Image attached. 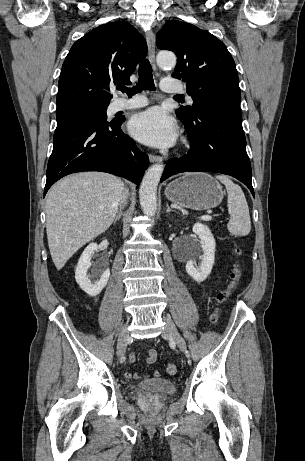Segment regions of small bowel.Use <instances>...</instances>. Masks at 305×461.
<instances>
[{"mask_svg":"<svg viewBox=\"0 0 305 461\" xmlns=\"http://www.w3.org/2000/svg\"><path fill=\"white\" fill-rule=\"evenodd\" d=\"M147 354H148V356H147V358H146V363H147L148 365H151V364L155 363L156 358H157V353H156V351H155L154 349H148V350H147ZM128 360H129V362H131V363L135 362V360H136L135 354H134V353H131V354L128 356ZM152 375H153L154 377H158V376L160 375L159 370H158V369L153 370ZM124 376H125L126 378H128V379L134 378V379H137V380H141V379L144 378V375H143L142 373H134V374H132V373H130V372H125Z\"/></svg>","mask_w":305,"mask_h":461,"instance_id":"c3829d8e","label":"small bowel"}]
</instances>
